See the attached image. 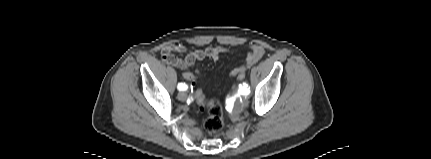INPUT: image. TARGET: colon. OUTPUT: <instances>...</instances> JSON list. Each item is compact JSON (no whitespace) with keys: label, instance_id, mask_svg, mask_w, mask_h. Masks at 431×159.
Here are the masks:
<instances>
[{"label":"colon","instance_id":"1","mask_svg":"<svg viewBox=\"0 0 431 159\" xmlns=\"http://www.w3.org/2000/svg\"><path fill=\"white\" fill-rule=\"evenodd\" d=\"M237 74V83L246 80V72L240 70ZM182 79L186 80L189 83H198L195 73H191V71H183ZM193 96L202 107L207 109V115L202 120L204 129L211 134L218 133L219 131H221L223 128V110L220 102L217 99L206 101L205 98L202 97V91L200 90V86H196V90L193 91Z\"/></svg>","mask_w":431,"mask_h":159}]
</instances>
